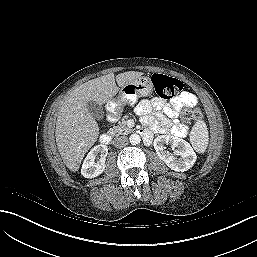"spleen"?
<instances>
[{
	"label": "spleen",
	"instance_id": "1",
	"mask_svg": "<svg viewBox=\"0 0 257 257\" xmlns=\"http://www.w3.org/2000/svg\"><path fill=\"white\" fill-rule=\"evenodd\" d=\"M190 142L199 153H204L209 142V134L206 123L203 120H197L190 132Z\"/></svg>",
	"mask_w": 257,
	"mask_h": 257
}]
</instances>
